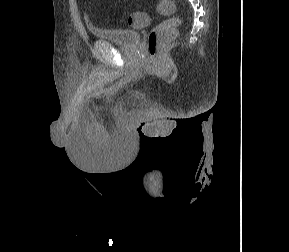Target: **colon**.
I'll list each match as a JSON object with an SVG mask.
<instances>
[{
    "label": "colon",
    "instance_id": "obj_1",
    "mask_svg": "<svg viewBox=\"0 0 289 252\" xmlns=\"http://www.w3.org/2000/svg\"><path fill=\"white\" fill-rule=\"evenodd\" d=\"M157 11L162 15L172 16L175 12V6L172 0H158L156 3ZM146 16L140 13H133L125 18L129 26L140 27L144 25ZM180 25V19L172 16L155 27L148 36V55L151 61L156 62L163 48L170 43L176 36L177 28Z\"/></svg>",
    "mask_w": 289,
    "mask_h": 252
}]
</instances>
